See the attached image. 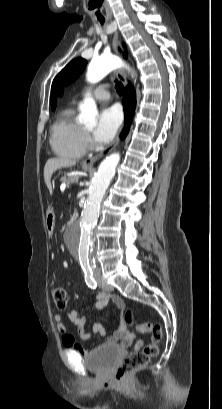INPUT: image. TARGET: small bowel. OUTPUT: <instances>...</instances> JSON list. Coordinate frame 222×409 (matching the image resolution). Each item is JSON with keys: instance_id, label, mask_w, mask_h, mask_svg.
Instances as JSON below:
<instances>
[{"instance_id": "1", "label": "small bowel", "mask_w": 222, "mask_h": 409, "mask_svg": "<svg viewBox=\"0 0 222 409\" xmlns=\"http://www.w3.org/2000/svg\"><path fill=\"white\" fill-rule=\"evenodd\" d=\"M112 302L117 308L121 315L124 314L125 303L117 295H111L104 291L98 292L94 299V306L99 311L102 312L104 308ZM68 319L77 327L78 337L82 340H87L90 338L91 333H88L84 330L85 318L79 314L75 309L68 312ZM57 329L61 334L66 333V327L62 322L61 315L57 314L54 317ZM94 334H100L105 344H113L119 342L120 346L123 348H131L132 346L136 349L140 348L143 345L141 340L135 342V336L132 331L128 328L125 320L121 321L119 328L112 333L108 334L103 326L100 324H95L93 326ZM63 343L70 348H73L80 354H86L87 350L71 336H68V339Z\"/></svg>"}]
</instances>
